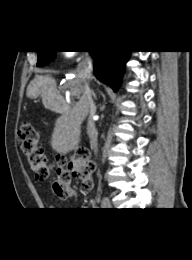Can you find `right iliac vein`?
<instances>
[{
    "label": "right iliac vein",
    "instance_id": "63e3f726",
    "mask_svg": "<svg viewBox=\"0 0 192 260\" xmlns=\"http://www.w3.org/2000/svg\"><path fill=\"white\" fill-rule=\"evenodd\" d=\"M102 207H103V208H107V209H109V208L112 207V206H111V203H110V201H109L108 198L104 197V198L102 199Z\"/></svg>",
    "mask_w": 192,
    "mask_h": 260
}]
</instances>
